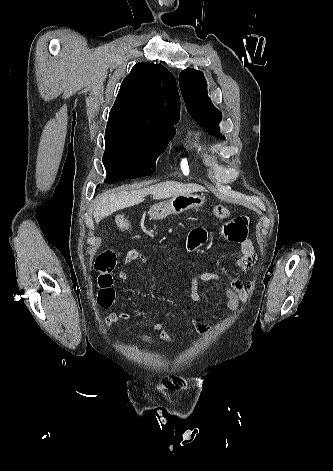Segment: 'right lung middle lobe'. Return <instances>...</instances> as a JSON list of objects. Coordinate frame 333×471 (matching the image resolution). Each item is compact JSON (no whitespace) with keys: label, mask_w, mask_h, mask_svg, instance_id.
<instances>
[{"label":"right lung middle lobe","mask_w":333,"mask_h":471,"mask_svg":"<svg viewBox=\"0 0 333 471\" xmlns=\"http://www.w3.org/2000/svg\"><path fill=\"white\" fill-rule=\"evenodd\" d=\"M175 132L144 124L108 122L103 155L107 172L105 182L117 183L152 175L156 170V159Z\"/></svg>","instance_id":"obj_1"}]
</instances>
